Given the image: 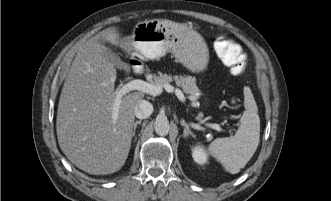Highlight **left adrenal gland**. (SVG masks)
<instances>
[{
	"instance_id": "1",
	"label": "left adrenal gland",
	"mask_w": 331,
	"mask_h": 201,
	"mask_svg": "<svg viewBox=\"0 0 331 201\" xmlns=\"http://www.w3.org/2000/svg\"><path fill=\"white\" fill-rule=\"evenodd\" d=\"M180 123L184 127V131H183L184 138H186L189 135H191L192 137H195L193 132L190 130L189 125L185 122L184 119H182Z\"/></svg>"
}]
</instances>
